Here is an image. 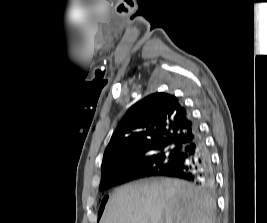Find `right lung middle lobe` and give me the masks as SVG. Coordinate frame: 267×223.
<instances>
[{"instance_id":"obj_1","label":"right lung middle lobe","mask_w":267,"mask_h":223,"mask_svg":"<svg viewBox=\"0 0 267 223\" xmlns=\"http://www.w3.org/2000/svg\"><path fill=\"white\" fill-rule=\"evenodd\" d=\"M180 151L175 147H166L162 148L160 151L151 153L148 156L142 158L140 165L141 166L136 173L145 174V175H153L162 171L164 169L170 168L177 160ZM105 183V181H104ZM104 184L100 186L102 189ZM108 197H105L102 200L99 217L104 209L105 203Z\"/></svg>"}]
</instances>
